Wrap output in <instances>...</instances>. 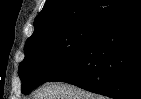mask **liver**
Masks as SVG:
<instances>
[{
  "label": "liver",
  "instance_id": "6515ba94",
  "mask_svg": "<svg viewBox=\"0 0 141 99\" xmlns=\"http://www.w3.org/2000/svg\"><path fill=\"white\" fill-rule=\"evenodd\" d=\"M31 99H105L66 83H50L39 88Z\"/></svg>",
  "mask_w": 141,
  "mask_h": 99
}]
</instances>
